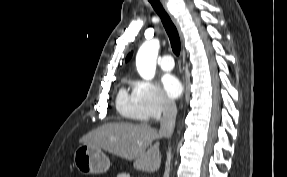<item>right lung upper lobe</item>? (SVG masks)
I'll list each match as a JSON object with an SVG mask.
<instances>
[{"mask_svg":"<svg viewBox=\"0 0 287 177\" xmlns=\"http://www.w3.org/2000/svg\"><path fill=\"white\" fill-rule=\"evenodd\" d=\"M131 55H132V53H130V54L127 56L126 61H128V60L130 59Z\"/></svg>","mask_w":287,"mask_h":177,"instance_id":"1","label":"right lung upper lobe"}]
</instances>
